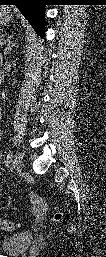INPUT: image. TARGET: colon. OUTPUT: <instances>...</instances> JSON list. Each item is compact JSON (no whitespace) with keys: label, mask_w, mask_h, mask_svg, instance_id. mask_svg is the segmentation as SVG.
<instances>
[{"label":"colon","mask_w":106,"mask_h":257,"mask_svg":"<svg viewBox=\"0 0 106 257\" xmlns=\"http://www.w3.org/2000/svg\"><path fill=\"white\" fill-rule=\"evenodd\" d=\"M55 222H60L62 220V214L61 213H56L54 216ZM18 227L17 224L11 221L7 220H2L1 221V229L6 230V231H12L15 230Z\"/></svg>","instance_id":"5ec220e1"}]
</instances>
